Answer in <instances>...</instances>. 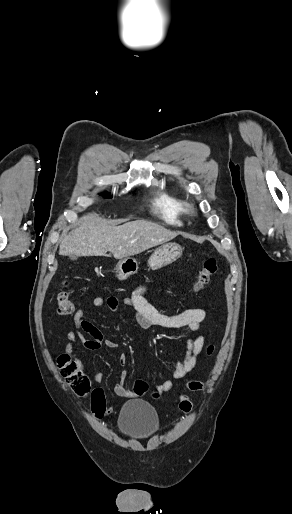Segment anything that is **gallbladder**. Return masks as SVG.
Here are the masks:
<instances>
[{
    "label": "gallbladder",
    "mask_w": 292,
    "mask_h": 514,
    "mask_svg": "<svg viewBox=\"0 0 292 514\" xmlns=\"http://www.w3.org/2000/svg\"><path fill=\"white\" fill-rule=\"evenodd\" d=\"M69 258H70V260H77V258H79V256H77V254H69Z\"/></svg>",
    "instance_id": "bac80fb5"
}]
</instances>
